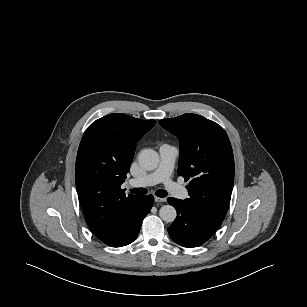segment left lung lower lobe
<instances>
[{
    "mask_svg": "<svg viewBox=\"0 0 307 307\" xmlns=\"http://www.w3.org/2000/svg\"><path fill=\"white\" fill-rule=\"evenodd\" d=\"M168 203L175 207L177 217L168 228L171 239L184 247H197L206 242L217 229L196 218L182 203V200L168 198Z\"/></svg>",
    "mask_w": 307,
    "mask_h": 307,
    "instance_id": "left-lung-lower-lobe-1",
    "label": "left lung lower lobe"
}]
</instances>
